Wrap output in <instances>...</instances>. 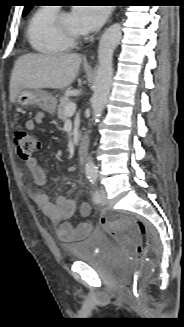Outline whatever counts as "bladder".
<instances>
[{
  "label": "bladder",
  "mask_w": 184,
  "mask_h": 327,
  "mask_svg": "<svg viewBox=\"0 0 184 327\" xmlns=\"http://www.w3.org/2000/svg\"><path fill=\"white\" fill-rule=\"evenodd\" d=\"M67 251L76 262L91 263L103 253H111L126 265V260L116 250L110 238L101 231H91L82 241L71 243L66 246Z\"/></svg>",
  "instance_id": "bladder-1"
}]
</instances>
